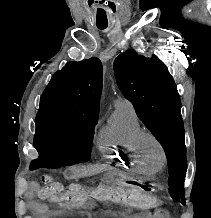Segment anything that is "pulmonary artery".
<instances>
[{
	"label": "pulmonary artery",
	"mask_w": 211,
	"mask_h": 218,
	"mask_svg": "<svg viewBox=\"0 0 211 218\" xmlns=\"http://www.w3.org/2000/svg\"><path fill=\"white\" fill-rule=\"evenodd\" d=\"M114 106L115 107H120V106H132L129 100L126 98H117L114 101Z\"/></svg>",
	"instance_id": "pulmonary-artery-1"
}]
</instances>
